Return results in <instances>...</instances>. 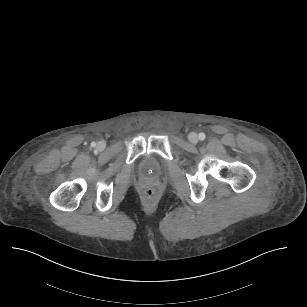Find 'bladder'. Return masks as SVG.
I'll return each mask as SVG.
<instances>
[{
    "instance_id": "bladder-1",
    "label": "bladder",
    "mask_w": 307,
    "mask_h": 307,
    "mask_svg": "<svg viewBox=\"0 0 307 307\" xmlns=\"http://www.w3.org/2000/svg\"><path fill=\"white\" fill-rule=\"evenodd\" d=\"M144 167L149 168L151 170L160 171L162 169L161 162L153 157L146 158L143 163Z\"/></svg>"
}]
</instances>
